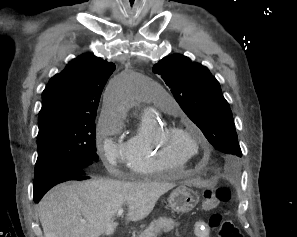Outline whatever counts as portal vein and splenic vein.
<instances>
[{"instance_id":"obj_1","label":"portal vein and splenic vein","mask_w":297,"mask_h":237,"mask_svg":"<svg viewBox=\"0 0 297 237\" xmlns=\"http://www.w3.org/2000/svg\"><path fill=\"white\" fill-rule=\"evenodd\" d=\"M123 214V209H119L117 212V216H121ZM83 223H85V221H82Z\"/></svg>"}]
</instances>
